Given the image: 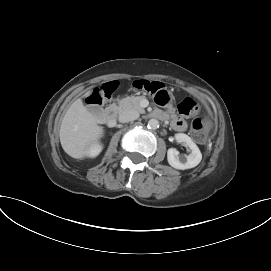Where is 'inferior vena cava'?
<instances>
[{
  "mask_svg": "<svg viewBox=\"0 0 271 271\" xmlns=\"http://www.w3.org/2000/svg\"><path fill=\"white\" fill-rule=\"evenodd\" d=\"M139 118V113L134 111V110H127V111H123L120 115H119V121L121 123H125V122H130V121H134L136 119Z\"/></svg>",
  "mask_w": 271,
  "mask_h": 271,
  "instance_id": "obj_1",
  "label": "inferior vena cava"
}]
</instances>
